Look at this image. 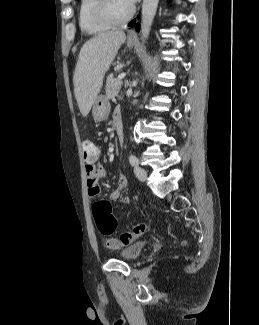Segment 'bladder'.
Here are the masks:
<instances>
[{"label":"bladder","instance_id":"bladder-1","mask_svg":"<svg viewBox=\"0 0 259 325\" xmlns=\"http://www.w3.org/2000/svg\"><path fill=\"white\" fill-rule=\"evenodd\" d=\"M144 248H145V242L143 241L135 242L124 247L119 252V256L124 260L131 261L138 258Z\"/></svg>","mask_w":259,"mask_h":325}]
</instances>
